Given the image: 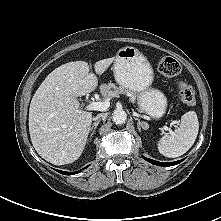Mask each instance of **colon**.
Wrapping results in <instances>:
<instances>
[{
    "instance_id": "obj_1",
    "label": "colon",
    "mask_w": 221,
    "mask_h": 221,
    "mask_svg": "<svg viewBox=\"0 0 221 221\" xmlns=\"http://www.w3.org/2000/svg\"><path fill=\"white\" fill-rule=\"evenodd\" d=\"M159 72L166 77H175L181 72L180 63L173 57H163L158 63ZM178 91L182 102L187 106H193L196 103V92L192 86L184 81L177 83Z\"/></svg>"
}]
</instances>
